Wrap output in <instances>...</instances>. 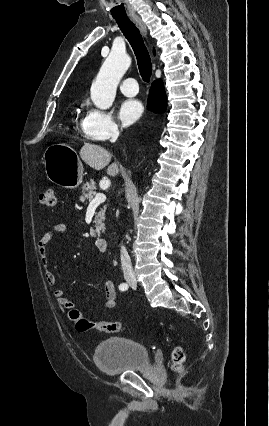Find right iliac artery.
Listing matches in <instances>:
<instances>
[{
  "instance_id": "obj_1",
  "label": "right iliac artery",
  "mask_w": 269,
  "mask_h": 426,
  "mask_svg": "<svg viewBox=\"0 0 269 426\" xmlns=\"http://www.w3.org/2000/svg\"><path fill=\"white\" fill-rule=\"evenodd\" d=\"M119 289H120L121 291H125V290H127V289H128V284H126V283L121 284V285L119 286Z\"/></svg>"
}]
</instances>
